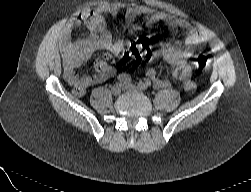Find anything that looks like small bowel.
Returning a JSON list of instances; mask_svg holds the SVG:
<instances>
[{
	"label": "small bowel",
	"mask_w": 251,
	"mask_h": 192,
	"mask_svg": "<svg viewBox=\"0 0 251 192\" xmlns=\"http://www.w3.org/2000/svg\"><path fill=\"white\" fill-rule=\"evenodd\" d=\"M136 19V12L129 11L125 22L130 25ZM158 22L152 20L150 28L156 27ZM74 23H69L60 33V52L62 54L64 78L76 96H83L86 90L96 84H100L114 75L115 70L105 61H96L95 72L91 75L78 76L75 69L81 65L95 51H106L119 55L123 49V43L114 41L111 33L102 25L99 18L88 21L89 35L76 41H71L69 36ZM169 28L175 33L183 30L186 35L184 41H175L164 50V59L173 69V77L181 83L184 91H193L196 87L192 79L193 68L188 61L197 46L206 44L208 39L200 30L185 22H174ZM147 75L152 79L155 88H170L169 79L160 77L155 69H149Z\"/></svg>",
	"instance_id": "obj_1"
}]
</instances>
